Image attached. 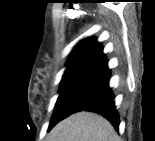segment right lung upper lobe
Instances as JSON below:
<instances>
[{
  "mask_svg": "<svg viewBox=\"0 0 155 141\" xmlns=\"http://www.w3.org/2000/svg\"><path fill=\"white\" fill-rule=\"evenodd\" d=\"M106 62L107 59L103 54L101 44L96 39L87 38L78 43L71 52L65 73L72 71L96 72Z\"/></svg>",
  "mask_w": 155,
  "mask_h": 141,
  "instance_id": "obj_1",
  "label": "right lung upper lobe"
}]
</instances>
